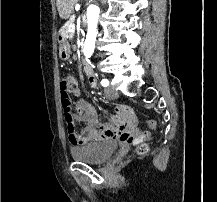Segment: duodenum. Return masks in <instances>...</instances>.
<instances>
[{
    "label": "duodenum",
    "mask_w": 217,
    "mask_h": 202,
    "mask_svg": "<svg viewBox=\"0 0 217 202\" xmlns=\"http://www.w3.org/2000/svg\"><path fill=\"white\" fill-rule=\"evenodd\" d=\"M84 72L89 79H93L95 76L94 70L88 62L84 63Z\"/></svg>",
    "instance_id": "obj_1"
}]
</instances>
